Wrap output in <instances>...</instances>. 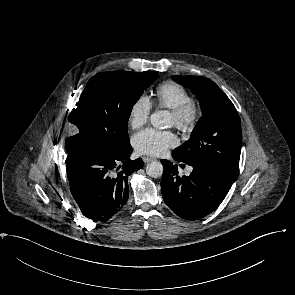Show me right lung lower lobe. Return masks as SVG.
Wrapping results in <instances>:
<instances>
[{
  "instance_id": "right-lung-lower-lobe-1",
  "label": "right lung lower lobe",
  "mask_w": 295,
  "mask_h": 295,
  "mask_svg": "<svg viewBox=\"0 0 295 295\" xmlns=\"http://www.w3.org/2000/svg\"><path fill=\"white\" fill-rule=\"evenodd\" d=\"M131 153V145L123 151L86 145L68 153L70 190L84 216L106 221L126 204L128 177L144 165L141 158L130 160ZM120 163L122 167L118 166Z\"/></svg>"
}]
</instances>
